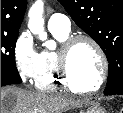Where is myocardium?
I'll return each mask as SVG.
<instances>
[{"mask_svg":"<svg viewBox=\"0 0 123 113\" xmlns=\"http://www.w3.org/2000/svg\"><path fill=\"white\" fill-rule=\"evenodd\" d=\"M80 42H87L91 44L93 48L96 50L101 62V70H100L98 81L95 84V86L90 89H85L74 83L69 71L70 55L73 49L75 48V46ZM58 69L63 82L70 89L82 94H95L102 88V86L107 80L109 63L105 51L103 50L102 46L98 43L96 39H94L89 35L79 34V35L69 36L67 39H65L62 42L60 48L58 49Z\"/></svg>","mask_w":123,"mask_h":113,"instance_id":"1","label":"myocardium"}]
</instances>
